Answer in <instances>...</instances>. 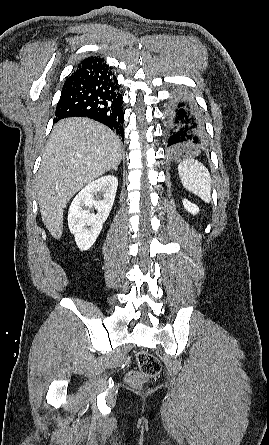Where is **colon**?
Wrapping results in <instances>:
<instances>
[{"instance_id": "colon-1", "label": "colon", "mask_w": 269, "mask_h": 445, "mask_svg": "<svg viewBox=\"0 0 269 445\" xmlns=\"http://www.w3.org/2000/svg\"><path fill=\"white\" fill-rule=\"evenodd\" d=\"M136 360L138 370L129 371L126 375V381L130 386L139 387L145 380L156 377L161 371L158 358L147 351H139Z\"/></svg>"}]
</instances>
